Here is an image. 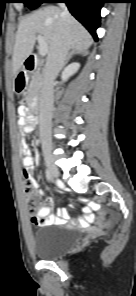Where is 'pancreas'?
<instances>
[{
  "label": "pancreas",
  "mask_w": 136,
  "mask_h": 296,
  "mask_svg": "<svg viewBox=\"0 0 136 296\" xmlns=\"http://www.w3.org/2000/svg\"><path fill=\"white\" fill-rule=\"evenodd\" d=\"M42 80L43 78L40 69H36L32 74L31 82L29 84L27 102L37 101L42 86Z\"/></svg>",
  "instance_id": "obj_1"
}]
</instances>
